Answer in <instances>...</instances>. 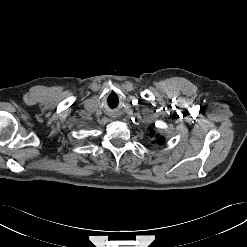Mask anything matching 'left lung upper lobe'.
<instances>
[{
    "label": "left lung upper lobe",
    "instance_id": "1",
    "mask_svg": "<svg viewBox=\"0 0 247 247\" xmlns=\"http://www.w3.org/2000/svg\"><path fill=\"white\" fill-rule=\"evenodd\" d=\"M152 136H154V133L151 134V137H152ZM156 138H157V141H156V142H157L158 144H162V143H163V138H162V137H158V135H156Z\"/></svg>",
    "mask_w": 247,
    "mask_h": 247
}]
</instances>
